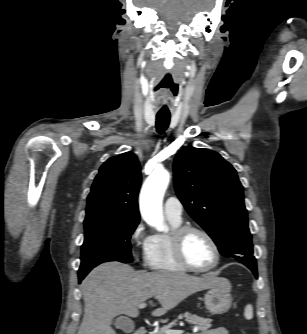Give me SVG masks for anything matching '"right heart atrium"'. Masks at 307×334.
<instances>
[{
    "instance_id": "d8ad5b80",
    "label": "right heart atrium",
    "mask_w": 307,
    "mask_h": 334,
    "mask_svg": "<svg viewBox=\"0 0 307 334\" xmlns=\"http://www.w3.org/2000/svg\"><path fill=\"white\" fill-rule=\"evenodd\" d=\"M150 239L151 235L148 234L144 222L139 220L133 227L130 234V242L134 248L135 253L145 256Z\"/></svg>"
}]
</instances>
